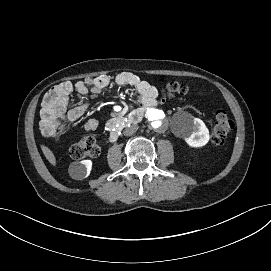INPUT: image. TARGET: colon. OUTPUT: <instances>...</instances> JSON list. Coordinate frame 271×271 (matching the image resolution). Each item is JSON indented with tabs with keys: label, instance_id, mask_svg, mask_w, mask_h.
Here are the masks:
<instances>
[{
	"label": "colon",
	"instance_id": "1",
	"mask_svg": "<svg viewBox=\"0 0 271 271\" xmlns=\"http://www.w3.org/2000/svg\"><path fill=\"white\" fill-rule=\"evenodd\" d=\"M190 94L187 86L178 82H168L164 86L163 95L172 100H182ZM234 128L233 119L223 110L215 115V122L211 134V143L221 145ZM70 156L75 160L86 157H97L100 153L99 146L91 136H85L70 147Z\"/></svg>",
	"mask_w": 271,
	"mask_h": 271
}]
</instances>
